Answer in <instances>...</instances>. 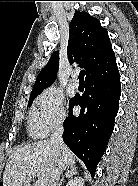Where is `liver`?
Returning <instances> with one entry per match:
<instances>
[{"label": "liver", "instance_id": "obj_1", "mask_svg": "<svg viewBox=\"0 0 138 186\" xmlns=\"http://www.w3.org/2000/svg\"><path fill=\"white\" fill-rule=\"evenodd\" d=\"M75 155L64 145L59 158L49 140L37 141L14 149L8 158L3 174V186H31L27 174L32 171L38 180L49 186L53 171L74 166Z\"/></svg>", "mask_w": 138, "mask_h": 186}]
</instances>
